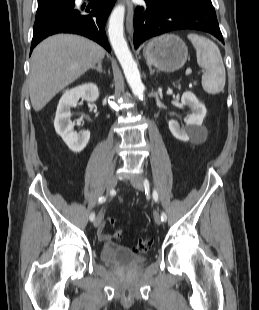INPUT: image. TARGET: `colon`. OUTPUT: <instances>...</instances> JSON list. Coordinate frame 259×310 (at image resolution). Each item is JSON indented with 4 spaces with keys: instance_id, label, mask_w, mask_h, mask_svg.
<instances>
[{
    "instance_id": "obj_1",
    "label": "colon",
    "mask_w": 259,
    "mask_h": 310,
    "mask_svg": "<svg viewBox=\"0 0 259 310\" xmlns=\"http://www.w3.org/2000/svg\"><path fill=\"white\" fill-rule=\"evenodd\" d=\"M108 222L111 225H115L116 219L115 218H109ZM122 234H123L122 230L117 229L114 231L113 237L116 239H119L122 237ZM151 247H152V242L150 240H142L136 244V246L134 247V250L137 253L144 254V253H147L148 251H150Z\"/></svg>"
}]
</instances>
